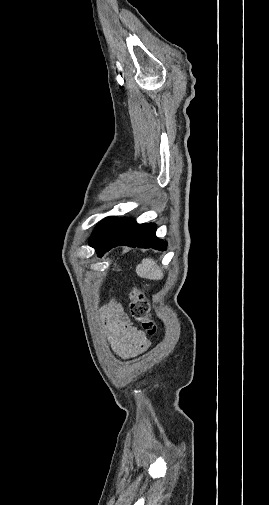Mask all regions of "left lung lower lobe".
Masks as SVG:
<instances>
[{
    "mask_svg": "<svg viewBox=\"0 0 269 505\" xmlns=\"http://www.w3.org/2000/svg\"><path fill=\"white\" fill-rule=\"evenodd\" d=\"M156 227L152 223L137 224L129 218L116 220L106 236L92 247L97 251L98 256L119 245L131 247L154 248L166 250V242L160 240L155 235Z\"/></svg>",
    "mask_w": 269,
    "mask_h": 505,
    "instance_id": "obj_1",
    "label": "left lung lower lobe"
}]
</instances>
